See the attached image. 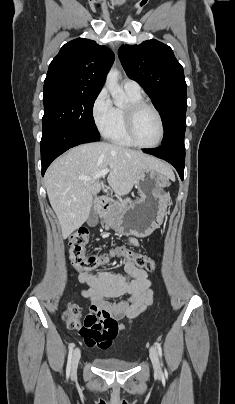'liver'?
I'll list each match as a JSON object with an SVG mask.
<instances>
[{
	"instance_id": "obj_1",
	"label": "liver",
	"mask_w": 235,
	"mask_h": 404,
	"mask_svg": "<svg viewBox=\"0 0 235 404\" xmlns=\"http://www.w3.org/2000/svg\"><path fill=\"white\" fill-rule=\"evenodd\" d=\"M110 168L108 183L117 196L131 191L140 174L155 169L173 179L172 168L140 151L94 142L71 148L46 171L44 181L50 204L59 220L63 237H68L88 219L93 195L103 183L90 181L101 170Z\"/></svg>"
}]
</instances>
